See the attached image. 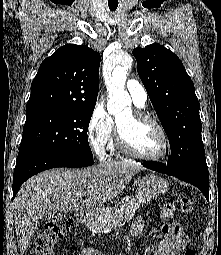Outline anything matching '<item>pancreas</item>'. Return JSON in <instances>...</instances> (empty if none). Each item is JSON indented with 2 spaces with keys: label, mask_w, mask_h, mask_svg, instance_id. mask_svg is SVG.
Listing matches in <instances>:
<instances>
[{
  "label": "pancreas",
  "mask_w": 221,
  "mask_h": 255,
  "mask_svg": "<svg viewBox=\"0 0 221 255\" xmlns=\"http://www.w3.org/2000/svg\"><path fill=\"white\" fill-rule=\"evenodd\" d=\"M141 204L142 200L140 196H125L120 202H116L113 207L105 208L101 212V215L90 223L89 227L95 230L96 233L110 231L123 221L132 219L135 211Z\"/></svg>",
  "instance_id": "1"
}]
</instances>
